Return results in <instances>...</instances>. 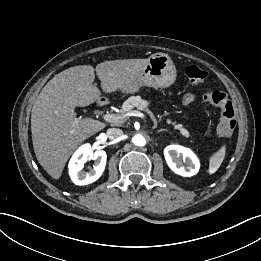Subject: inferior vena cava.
<instances>
[{
    "label": "inferior vena cava",
    "mask_w": 261,
    "mask_h": 261,
    "mask_svg": "<svg viewBox=\"0 0 261 261\" xmlns=\"http://www.w3.org/2000/svg\"><path fill=\"white\" fill-rule=\"evenodd\" d=\"M123 135V131L119 128H109L107 130V137L109 139H117Z\"/></svg>",
    "instance_id": "602c4592"
}]
</instances>
